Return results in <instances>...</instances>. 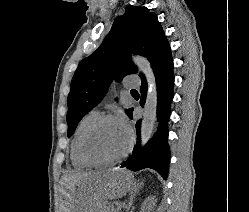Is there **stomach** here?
Returning <instances> with one entry per match:
<instances>
[{
  "instance_id": "0dacf381",
  "label": "stomach",
  "mask_w": 249,
  "mask_h": 212,
  "mask_svg": "<svg viewBox=\"0 0 249 212\" xmlns=\"http://www.w3.org/2000/svg\"><path fill=\"white\" fill-rule=\"evenodd\" d=\"M129 175L124 170H98V175H88L75 190V212H99L96 205L107 204V199L121 198V193H130Z\"/></svg>"
}]
</instances>
